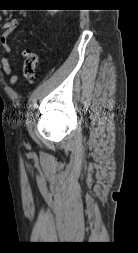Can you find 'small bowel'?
<instances>
[{"instance_id":"c3829d8e","label":"small bowel","mask_w":138,"mask_h":253,"mask_svg":"<svg viewBox=\"0 0 138 253\" xmlns=\"http://www.w3.org/2000/svg\"><path fill=\"white\" fill-rule=\"evenodd\" d=\"M18 24H19V19L14 18L10 21L3 23V25H2L3 33L0 36V44H1L2 48L4 49V51L7 53L11 52V46L9 44V36L14 31V29L18 26ZM25 53H26V51L23 52L24 56H25ZM1 66H2L4 73L10 76L9 83L11 85L15 84L18 80V76L15 73L14 69L12 68L7 57L1 58Z\"/></svg>"}]
</instances>
